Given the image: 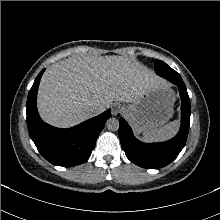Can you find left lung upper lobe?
<instances>
[{
  "label": "left lung upper lobe",
  "instance_id": "5c2ea615",
  "mask_svg": "<svg viewBox=\"0 0 220 220\" xmlns=\"http://www.w3.org/2000/svg\"><path fill=\"white\" fill-rule=\"evenodd\" d=\"M166 66H168L166 63H164L163 61H156L155 63V71L156 73H158L160 70L166 68Z\"/></svg>",
  "mask_w": 220,
  "mask_h": 220
}]
</instances>
